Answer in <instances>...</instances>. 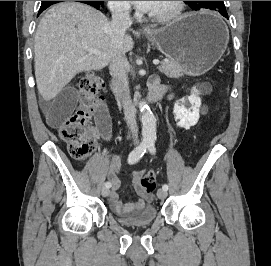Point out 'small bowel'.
Segmentation results:
<instances>
[{
    "label": "small bowel",
    "mask_w": 271,
    "mask_h": 266,
    "mask_svg": "<svg viewBox=\"0 0 271 266\" xmlns=\"http://www.w3.org/2000/svg\"><path fill=\"white\" fill-rule=\"evenodd\" d=\"M77 100L76 91L73 88H66L58 95H56L51 101L44 105L46 110L48 122L52 126H58L60 122L71 112L74 104ZM92 133L95 138L103 137L108 139L111 134V122L110 116L105 107H102L96 117V125L92 129ZM144 170H138L132 173L131 181L135 186V191L139 196V199L132 202L124 203L120 201L119 188L121 185V180L119 177V172L116 166L110 168L108 172V178L111 180L112 189L110 193V203L113 209L119 213L131 212V211H141L146 203L153 200V193H148L144 191L139 186V181L144 175Z\"/></svg>",
    "instance_id": "1"
}]
</instances>
